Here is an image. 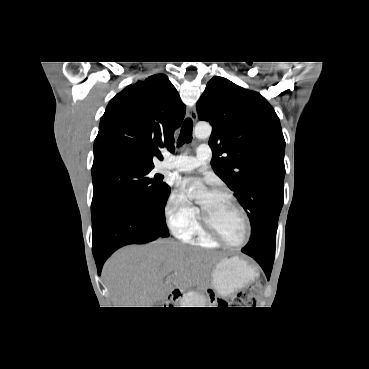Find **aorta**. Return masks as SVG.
Masks as SVG:
<instances>
[{
    "label": "aorta",
    "mask_w": 369,
    "mask_h": 369,
    "mask_svg": "<svg viewBox=\"0 0 369 369\" xmlns=\"http://www.w3.org/2000/svg\"><path fill=\"white\" fill-rule=\"evenodd\" d=\"M211 132L212 127L208 123H198L194 129V135L199 139L208 138L211 135ZM204 189L205 188L201 186L197 189L192 190L190 192V195L193 197H199L203 193Z\"/></svg>",
    "instance_id": "762f6f07"
}]
</instances>
